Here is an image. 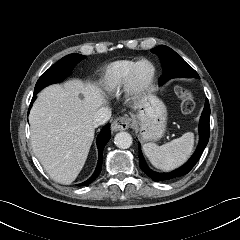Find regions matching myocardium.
I'll list each match as a JSON object with an SVG mask.
<instances>
[{
	"label": "myocardium",
	"instance_id": "1",
	"mask_svg": "<svg viewBox=\"0 0 240 240\" xmlns=\"http://www.w3.org/2000/svg\"><path fill=\"white\" fill-rule=\"evenodd\" d=\"M146 64L150 67V74L145 80H139L137 72L140 66ZM157 76V70L154 63L148 59L137 61L130 69L126 78V91L133 99H139L146 96L154 87Z\"/></svg>",
	"mask_w": 240,
	"mask_h": 240
}]
</instances>
